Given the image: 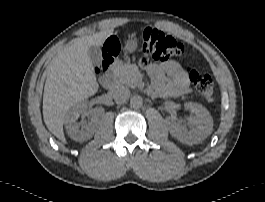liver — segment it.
Masks as SVG:
<instances>
[{
    "mask_svg": "<svg viewBox=\"0 0 265 202\" xmlns=\"http://www.w3.org/2000/svg\"><path fill=\"white\" fill-rule=\"evenodd\" d=\"M112 34L110 29L78 38L49 65L43 94V119L48 130L64 143L63 124L67 112L76 103L96 94L99 88L88 49L103 45Z\"/></svg>",
    "mask_w": 265,
    "mask_h": 202,
    "instance_id": "obj_1",
    "label": "liver"
}]
</instances>
